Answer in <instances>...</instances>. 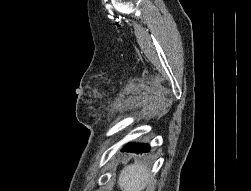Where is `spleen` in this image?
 <instances>
[{
  "instance_id": "1",
  "label": "spleen",
  "mask_w": 251,
  "mask_h": 191,
  "mask_svg": "<svg viewBox=\"0 0 251 191\" xmlns=\"http://www.w3.org/2000/svg\"><path fill=\"white\" fill-rule=\"evenodd\" d=\"M143 163H130L121 169L117 183L122 191H143L148 185L150 175Z\"/></svg>"
}]
</instances>
